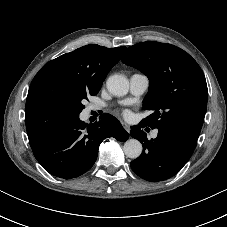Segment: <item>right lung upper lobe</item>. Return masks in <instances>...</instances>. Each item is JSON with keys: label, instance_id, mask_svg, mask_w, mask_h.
<instances>
[{"label": "right lung upper lobe", "instance_id": "right-lung-upper-lobe-1", "mask_svg": "<svg viewBox=\"0 0 227 227\" xmlns=\"http://www.w3.org/2000/svg\"><path fill=\"white\" fill-rule=\"evenodd\" d=\"M126 47L86 45L44 65L34 77L26 100L25 121L31 147L57 127L74 119L78 93H98Z\"/></svg>", "mask_w": 227, "mask_h": 227}]
</instances>
